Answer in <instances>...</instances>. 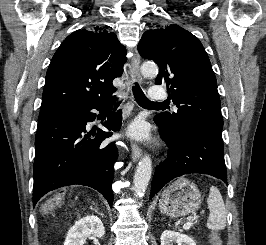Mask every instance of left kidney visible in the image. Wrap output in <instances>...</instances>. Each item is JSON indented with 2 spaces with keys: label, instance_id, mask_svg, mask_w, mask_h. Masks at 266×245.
Here are the masks:
<instances>
[{
  "label": "left kidney",
  "instance_id": "left-kidney-1",
  "mask_svg": "<svg viewBox=\"0 0 266 245\" xmlns=\"http://www.w3.org/2000/svg\"><path fill=\"white\" fill-rule=\"evenodd\" d=\"M196 245L195 241L189 235H182V233H175V231H163L161 235V245Z\"/></svg>",
  "mask_w": 266,
  "mask_h": 245
}]
</instances>
